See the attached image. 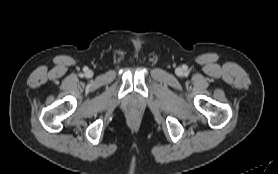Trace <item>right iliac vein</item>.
<instances>
[{
    "label": "right iliac vein",
    "instance_id": "obj_1",
    "mask_svg": "<svg viewBox=\"0 0 278 174\" xmlns=\"http://www.w3.org/2000/svg\"><path fill=\"white\" fill-rule=\"evenodd\" d=\"M88 74L91 75V71H89Z\"/></svg>",
    "mask_w": 278,
    "mask_h": 174
}]
</instances>
